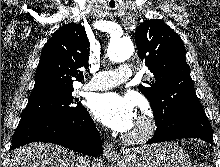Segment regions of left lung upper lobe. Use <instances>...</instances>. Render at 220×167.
I'll return each mask as SVG.
<instances>
[{
	"mask_svg": "<svg viewBox=\"0 0 220 167\" xmlns=\"http://www.w3.org/2000/svg\"><path fill=\"white\" fill-rule=\"evenodd\" d=\"M138 56L153 74L139 90L149 100L161 125L182 112L203 109L193 86L181 37L163 21L142 22L135 33Z\"/></svg>",
	"mask_w": 220,
	"mask_h": 167,
	"instance_id": "left-lung-upper-lobe-1",
	"label": "left lung upper lobe"
}]
</instances>
